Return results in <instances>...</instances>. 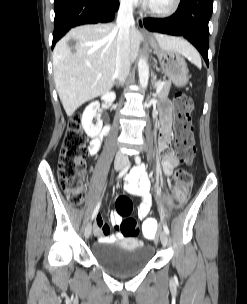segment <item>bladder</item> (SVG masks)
Returning a JSON list of instances; mask_svg holds the SVG:
<instances>
[{"instance_id":"1","label":"bladder","mask_w":247,"mask_h":304,"mask_svg":"<svg viewBox=\"0 0 247 304\" xmlns=\"http://www.w3.org/2000/svg\"><path fill=\"white\" fill-rule=\"evenodd\" d=\"M154 254V247L131 240L99 241L92 248L95 261L116 274L142 270L149 264Z\"/></svg>"}]
</instances>
